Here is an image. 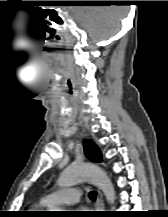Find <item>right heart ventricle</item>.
Returning <instances> with one entry per match:
<instances>
[{"label":"right heart ventricle","mask_w":168,"mask_h":217,"mask_svg":"<svg viewBox=\"0 0 168 217\" xmlns=\"http://www.w3.org/2000/svg\"><path fill=\"white\" fill-rule=\"evenodd\" d=\"M45 206L46 205L42 201H40L39 203L31 206L30 210H31V212H36V211H39L40 209L44 208Z\"/></svg>","instance_id":"1"}]
</instances>
